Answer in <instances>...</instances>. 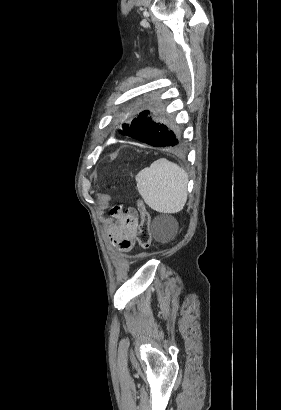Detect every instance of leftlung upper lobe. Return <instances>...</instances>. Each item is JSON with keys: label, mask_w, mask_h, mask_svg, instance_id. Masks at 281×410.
<instances>
[{"label": "left lung upper lobe", "mask_w": 281, "mask_h": 410, "mask_svg": "<svg viewBox=\"0 0 281 410\" xmlns=\"http://www.w3.org/2000/svg\"><path fill=\"white\" fill-rule=\"evenodd\" d=\"M124 126H125V125H123V127H124ZM121 133H123V134H125V135L127 134L125 130H124V131H121Z\"/></svg>", "instance_id": "obj_1"}]
</instances>
